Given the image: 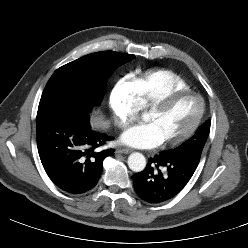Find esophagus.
<instances>
[{
  "instance_id": "1",
  "label": "esophagus",
  "mask_w": 248,
  "mask_h": 248,
  "mask_svg": "<svg viewBox=\"0 0 248 248\" xmlns=\"http://www.w3.org/2000/svg\"><path fill=\"white\" fill-rule=\"evenodd\" d=\"M116 153L128 154V153H130V149H127V148H118L116 150Z\"/></svg>"
}]
</instances>
